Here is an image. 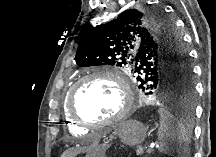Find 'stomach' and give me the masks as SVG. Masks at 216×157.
Masks as SVG:
<instances>
[{"mask_svg": "<svg viewBox=\"0 0 216 157\" xmlns=\"http://www.w3.org/2000/svg\"><path fill=\"white\" fill-rule=\"evenodd\" d=\"M146 132L147 128L140 122L135 120L124 121L114 128L112 134L103 143L95 144L85 157H106V151L116 137H119L127 145H137L145 139Z\"/></svg>", "mask_w": 216, "mask_h": 157, "instance_id": "obj_1", "label": "stomach"}]
</instances>
